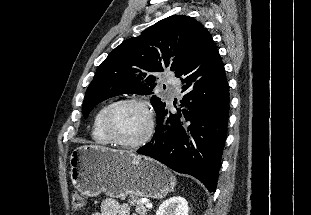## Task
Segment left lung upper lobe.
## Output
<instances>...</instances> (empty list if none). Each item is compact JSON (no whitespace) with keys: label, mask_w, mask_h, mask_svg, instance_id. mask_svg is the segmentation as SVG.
Returning <instances> with one entry per match:
<instances>
[{"label":"left lung upper lobe","mask_w":311,"mask_h":215,"mask_svg":"<svg viewBox=\"0 0 311 215\" xmlns=\"http://www.w3.org/2000/svg\"><path fill=\"white\" fill-rule=\"evenodd\" d=\"M206 28L195 19L172 15L147 28L138 37L116 47L98 67L83 102V115L101 101L120 94L150 95L155 87V72L169 67L176 72L196 51ZM157 113L165 103L153 95Z\"/></svg>","instance_id":"obj_1"}]
</instances>
